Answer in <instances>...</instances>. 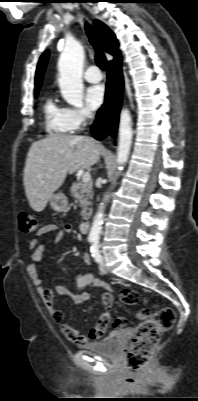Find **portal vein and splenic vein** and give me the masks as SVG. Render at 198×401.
Instances as JSON below:
<instances>
[{
    "instance_id": "obj_1",
    "label": "portal vein and splenic vein",
    "mask_w": 198,
    "mask_h": 401,
    "mask_svg": "<svg viewBox=\"0 0 198 401\" xmlns=\"http://www.w3.org/2000/svg\"><path fill=\"white\" fill-rule=\"evenodd\" d=\"M91 179V175L89 172H86L82 175V182L83 183H88Z\"/></svg>"
}]
</instances>
